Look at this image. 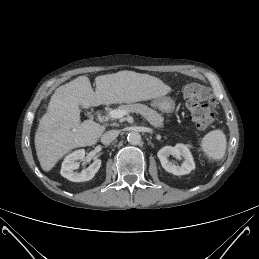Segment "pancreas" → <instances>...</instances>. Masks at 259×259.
Masks as SVG:
<instances>
[{"label":"pancreas","mask_w":259,"mask_h":259,"mask_svg":"<svg viewBox=\"0 0 259 259\" xmlns=\"http://www.w3.org/2000/svg\"><path fill=\"white\" fill-rule=\"evenodd\" d=\"M120 110L127 112H135L141 114L153 127L161 128L163 127L164 118L161 114L157 113L155 110L149 108L148 106L140 103L121 105L118 107Z\"/></svg>","instance_id":"pancreas-1"}]
</instances>
